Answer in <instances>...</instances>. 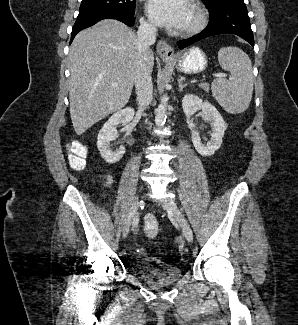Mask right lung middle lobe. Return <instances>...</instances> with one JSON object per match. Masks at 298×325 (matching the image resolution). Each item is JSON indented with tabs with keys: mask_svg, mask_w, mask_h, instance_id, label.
<instances>
[{
	"mask_svg": "<svg viewBox=\"0 0 298 325\" xmlns=\"http://www.w3.org/2000/svg\"><path fill=\"white\" fill-rule=\"evenodd\" d=\"M111 10L134 14L135 0H82L78 16Z\"/></svg>",
	"mask_w": 298,
	"mask_h": 325,
	"instance_id": "1",
	"label": "right lung middle lobe"
}]
</instances>
